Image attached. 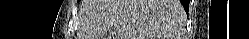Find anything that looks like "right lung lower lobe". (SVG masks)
Instances as JSON below:
<instances>
[{
	"label": "right lung lower lobe",
	"mask_w": 249,
	"mask_h": 39,
	"mask_svg": "<svg viewBox=\"0 0 249 39\" xmlns=\"http://www.w3.org/2000/svg\"><path fill=\"white\" fill-rule=\"evenodd\" d=\"M183 7L185 11L187 12L189 9V0H182Z\"/></svg>",
	"instance_id": "right-lung-lower-lobe-1"
}]
</instances>
